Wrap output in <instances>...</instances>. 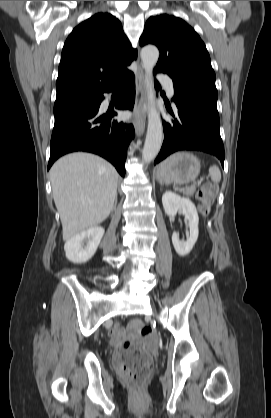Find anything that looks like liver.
Here are the masks:
<instances>
[{"instance_id": "obj_1", "label": "liver", "mask_w": 271, "mask_h": 418, "mask_svg": "<svg viewBox=\"0 0 271 418\" xmlns=\"http://www.w3.org/2000/svg\"><path fill=\"white\" fill-rule=\"evenodd\" d=\"M118 177L109 162L94 154L73 153L55 162L50 178L64 241L110 215L117 199Z\"/></svg>"}]
</instances>
